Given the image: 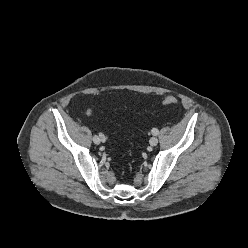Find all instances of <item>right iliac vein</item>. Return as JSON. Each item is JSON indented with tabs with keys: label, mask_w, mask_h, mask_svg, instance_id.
Masks as SVG:
<instances>
[{
	"label": "right iliac vein",
	"mask_w": 248,
	"mask_h": 248,
	"mask_svg": "<svg viewBox=\"0 0 248 248\" xmlns=\"http://www.w3.org/2000/svg\"><path fill=\"white\" fill-rule=\"evenodd\" d=\"M98 139H99L100 143L105 141V137L104 136H100V137H98Z\"/></svg>",
	"instance_id": "1"
}]
</instances>
